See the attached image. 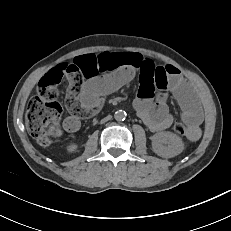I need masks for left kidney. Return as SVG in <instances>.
I'll return each mask as SVG.
<instances>
[{"label":"left kidney","mask_w":231,"mask_h":231,"mask_svg":"<svg viewBox=\"0 0 231 231\" xmlns=\"http://www.w3.org/2000/svg\"><path fill=\"white\" fill-rule=\"evenodd\" d=\"M153 151L160 157L172 158L184 150L180 137L171 132H159L152 136Z\"/></svg>","instance_id":"1"}]
</instances>
